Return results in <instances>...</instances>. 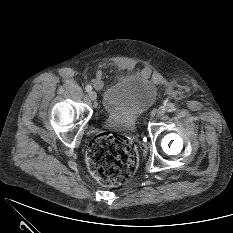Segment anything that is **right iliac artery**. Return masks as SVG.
<instances>
[{"label": "right iliac artery", "mask_w": 233, "mask_h": 233, "mask_svg": "<svg viewBox=\"0 0 233 233\" xmlns=\"http://www.w3.org/2000/svg\"><path fill=\"white\" fill-rule=\"evenodd\" d=\"M85 90H86L87 92H90V91L92 90V87H91L90 85H87V86L85 87Z\"/></svg>", "instance_id": "right-iliac-artery-1"}]
</instances>
